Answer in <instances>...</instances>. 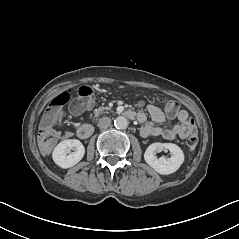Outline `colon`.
<instances>
[{
    "label": "colon",
    "instance_id": "colon-1",
    "mask_svg": "<svg viewBox=\"0 0 239 239\" xmlns=\"http://www.w3.org/2000/svg\"><path fill=\"white\" fill-rule=\"evenodd\" d=\"M69 92H62L54 97L47 109L45 110L39 132V138L45 142L49 138L48 132L52 129L53 124L60 116L61 108L69 101ZM94 103V93L90 86L83 85L77 91V98L71 104L73 113H81L92 107ZM165 112L167 115L172 116L178 112V105L174 101H167L165 103ZM191 124L194 125V120L191 119ZM198 136L196 131H193L187 139V146L189 150L193 151L197 147Z\"/></svg>",
    "mask_w": 239,
    "mask_h": 239
}]
</instances>
